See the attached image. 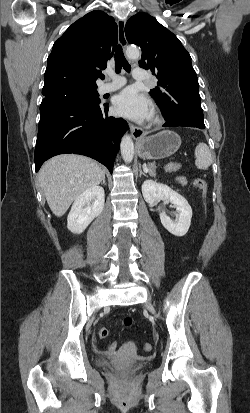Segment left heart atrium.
Segmentation results:
<instances>
[{
    "label": "left heart atrium",
    "instance_id": "39dd6f15",
    "mask_svg": "<svg viewBox=\"0 0 250 413\" xmlns=\"http://www.w3.org/2000/svg\"><path fill=\"white\" fill-rule=\"evenodd\" d=\"M114 108L119 115L137 121L149 119L151 115L149 100L133 87L124 89L115 97Z\"/></svg>",
    "mask_w": 250,
    "mask_h": 413
}]
</instances>
